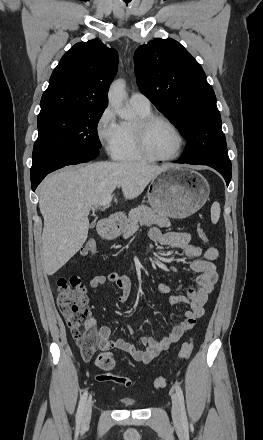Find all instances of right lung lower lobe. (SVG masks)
I'll return each mask as SVG.
<instances>
[{
	"mask_svg": "<svg viewBox=\"0 0 263 440\" xmlns=\"http://www.w3.org/2000/svg\"><path fill=\"white\" fill-rule=\"evenodd\" d=\"M98 155H99V150H91V151H87V152H85V154H84V159L82 160L81 163H83V162H88V161H90V160H92V159H95ZM64 166H66V164H63V163H61V164H57V165H55L54 167H52L48 172H46V173H44V174H42V175H40V176H38V177H36V178H34V179H31L32 190L35 191V189L37 188V186L40 184V182L44 179V177H45L48 173H50V172H52V171H55V170H57V169H60V168H62V167H64Z\"/></svg>",
	"mask_w": 263,
	"mask_h": 440,
	"instance_id": "98d812e1",
	"label": "right lung lower lobe"
}]
</instances>
